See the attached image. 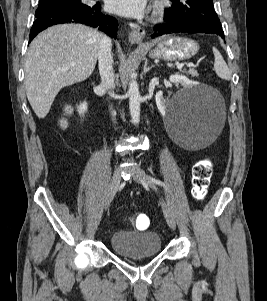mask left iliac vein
<instances>
[{"label": "left iliac vein", "instance_id": "left-iliac-vein-1", "mask_svg": "<svg viewBox=\"0 0 267 301\" xmlns=\"http://www.w3.org/2000/svg\"><path fill=\"white\" fill-rule=\"evenodd\" d=\"M133 180L142 184L143 186L150 187L154 191H157L155 184L149 179V177L145 173L141 172H133ZM161 205L163 209V213L166 219L167 224L172 230L176 229V222L172 215V211L170 206L164 200H161Z\"/></svg>", "mask_w": 267, "mask_h": 301}]
</instances>
